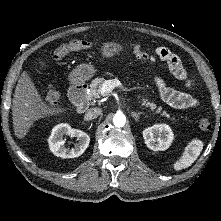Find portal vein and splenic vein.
<instances>
[{
  "mask_svg": "<svg viewBox=\"0 0 221 221\" xmlns=\"http://www.w3.org/2000/svg\"><path fill=\"white\" fill-rule=\"evenodd\" d=\"M115 87H122V84L119 80H106L105 83L102 85L100 92L102 95L105 96L112 92Z\"/></svg>",
  "mask_w": 221,
  "mask_h": 221,
  "instance_id": "1",
  "label": "portal vein and splenic vein"
}]
</instances>
